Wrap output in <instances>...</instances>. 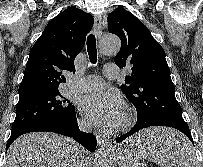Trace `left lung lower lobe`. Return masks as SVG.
Instances as JSON below:
<instances>
[{"instance_id":"left-lung-lower-lobe-1","label":"left lung lower lobe","mask_w":203,"mask_h":167,"mask_svg":"<svg viewBox=\"0 0 203 167\" xmlns=\"http://www.w3.org/2000/svg\"><path fill=\"white\" fill-rule=\"evenodd\" d=\"M151 126H166V127H172L180 132H182L192 143L193 139L191 136V132L189 130V126L187 123L183 120V118H169V119H163V120H157V121H151V122H137L136 125L126 134L121 135L116 139V142H121L127 137L131 136L132 134L136 133L137 131L143 129V128H148ZM185 140L186 138L182 136ZM187 143V140H186ZM194 144V143H193ZM152 146V141L147 140L143 142H139L135 145V148H146Z\"/></svg>"}]
</instances>
